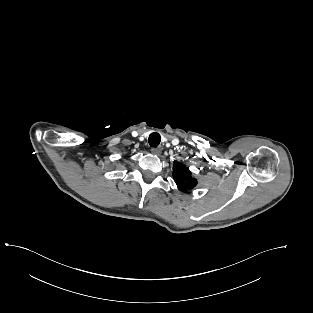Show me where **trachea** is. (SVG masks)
I'll return each mask as SVG.
<instances>
[{"mask_svg":"<svg viewBox=\"0 0 313 313\" xmlns=\"http://www.w3.org/2000/svg\"><path fill=\"white\" fill-rule=\"evenodd\" d=\"M148 141L151 147H157L160 144L161 136L158 133H152L149 135Z\"/></svg>","mask_w":313,"mask_h":313,"instance_id":"1","label":"trachea"}]
</instances>
